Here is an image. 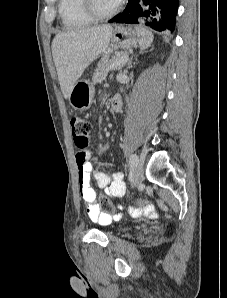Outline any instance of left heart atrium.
<instances>
[{
	"instance_id": "left-heart-atrium-1",
	"label": "left heart atrium",
	"mask_w": 227,
	"mask_h": 298,
	"mask_svg": "<svg viewBox=\"0 0 227 298\" xmlns=\"http://www.w3.org/2000/svg\"><path fill=\"white\" fill-rule=\"evenodd\" d=\"M115 2H116V4L119 2V1H121V0H114Z\"/></svg>"
}]
</instances>
